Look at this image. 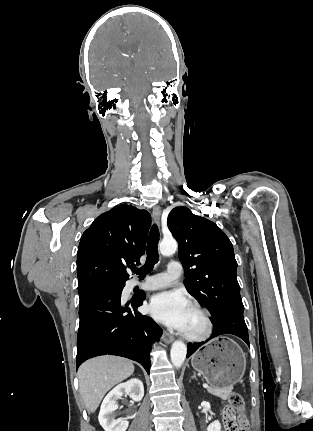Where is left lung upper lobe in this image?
<instances>
[{
	"label": "left lung upper lobe",
	"instance_id": "1",
	"mask_svg": "<svg viewBox=\"0 0 313 431\" xmlns=\"http://www.w3.org/2000/svg\"><path fill=\"white\" fill-rule=\"evenodd\" d=\"M168 228L178 242L186 289L209 310L212 320L230 312L243 313L237 262L226 234L186 207L172 209Z\"/></svg>",
	"mask_w": 313,
	"mask_h": 431
}]
</instances>
